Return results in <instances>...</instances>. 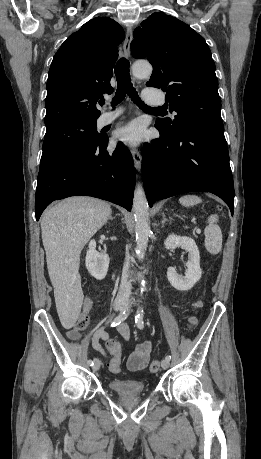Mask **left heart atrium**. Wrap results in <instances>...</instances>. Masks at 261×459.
<instances>
[{"mask_svg":"<svg viewBox=\"0 0 261 459\" xmlns=\"http://www.w3.org/2000/svg\"><path fill=\"white\" fill-rule=\"evenodd\" d=\"M143 138V128L138 122H131L121 127L115 133V139L126 145H137Z\"/></svg>","mask_w":261,"mask_h":459,"instance_id":"obj_1","label":"left heart atrium"}]
</instances>
